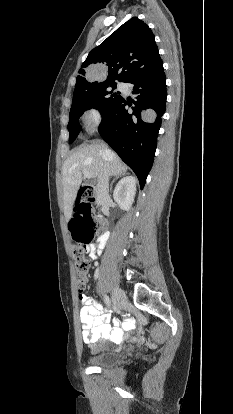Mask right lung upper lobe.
I'll use <instances>...</instances> for the list:
<instances>
[{"label":"right lung upper lobe","mask_w":233,"mask_h":414,"mask_svg":"<svg viewBox=\"0 0 233 414\" xmlns=\"http://www.w3.org/2000/svg\"><path fill=\"white\" fill-rule=\"evenodd\" d=\"M94 64L104 67L108 73L105 80H93L91 69ZM162 68L154 34L147 24L133 17L91 50L79 70L73 96L101 83L128 82Z\"/></svg>","instance_id":"cb5924a9"}]
</instances>
